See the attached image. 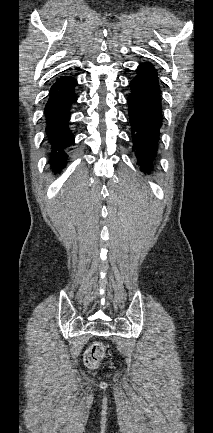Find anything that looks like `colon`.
Wrapping results in <instances>:
<instances>
[{
    "instance_id": "1",
    "label": "colon",
    "mask_w": 213,
    "mask_h": 433,
    "mask_svg": "<svg viewBox=\"0 0 213 433\" xmlns=\"http://www.w3.org/2000/svg\"><path fill=\"white\" fill-rule=\"evenodd\" d=\"M105 356V346L102 342L92 343L84 354V362L88 368H95Z\"/></svg>"
}]
</instances>
